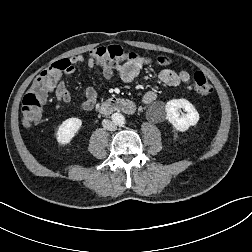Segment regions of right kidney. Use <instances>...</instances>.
Returning a JSON list of instances; mask_svg holds the SVG:
<instances>
[{
  "mask_svg": "<svg viewBox=\"0 0 252 252\" xmlns=\"http://www.w3.org/2000/svg\"><path fill=\"white\" fill-rule=\"evenodd\" d=\"M82 125V120L79 118H69L59 126L56 139L61 145L70 143L76 133L79 131Z\"/></svg>",
  "mask_w": 252,
  "mask_h": 252,
  "instance_id": "obj_1",
  "label": "right kidney"
}]
</instances>
